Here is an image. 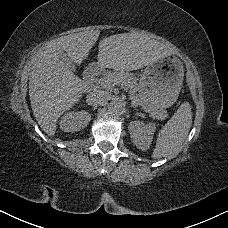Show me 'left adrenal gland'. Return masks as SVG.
Returning <instances> with one entry per match:
<instances>
[{
    "label": "left adrenal gland",
    "mask_w": 228,
    "mask_h": 228,
    "mask_svg": "<svg viewBox=\"0 0 228 228\" xmlns=\"http://www.w3.org/2000/svg\"><path fill=\"white\" fill-rule=\"evenodd\" d=\"M133 110H136V106L132 105Z\"/></svg>",
    "instance_id": "left-adrenal-gland-1"
}]
</instances>
